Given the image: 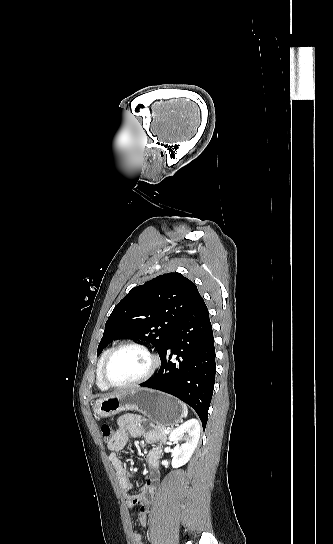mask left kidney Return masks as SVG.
<instances>
[{"instance_id":"left-kidney-1","label":"left kidney","mask_w":333,"mask_h":544,"mask_svg":"<svg viewBox=\"0 0 333 544\" xmlns=\"http://www.w3.org/2000/svg\"><path fill=\"white\" fill-rule=\"evenodd\" d=\"M184 437L185 443L179 445V440ZM200 437V425L196 419H191L173 430L169 441L174 444L172 467L178 468L185 465L191 458Z\"/></svg>"}]
</instances>
